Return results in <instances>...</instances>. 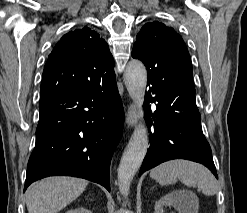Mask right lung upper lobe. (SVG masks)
<instances>
[{"instance_id":"obj_1","label":"right lung upper lobe","mask_w":247,"mask_h":213,"mask_svg":"<svg viewBox=\"0 0 247 213\" xmlns=\"http://www.w3.org/2000/svg\"><path fill=\"white\" fill-rule=\"evenodd\" d=\"M114 75L113 57L99 34L86 26L70 31L48 57L41 100L60 91L100 83Z\"/></svg>"}]
</instances>
